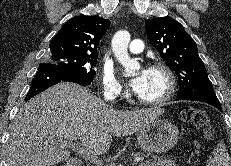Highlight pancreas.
Here are the masks:
<instances>
[{"label":"pancreas","instance_id":"1","mask_svg":"<svg viewBox=\"0 0 231 166\" xmlns=\"http://www.w3.org/2000/svg\"><path fill=\"white\" fill-rule=\"evenodd\" d=\"M146 157V155L141 153H134L133 156ZM101 166V165H97ZM139 166H178L174 160L168 159L166 157H153L152 160H146L140 163Z\"/></svg>","mask_w":231,"mask_h":166}]
</instances>
